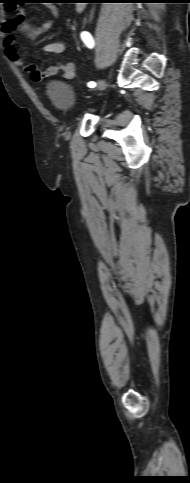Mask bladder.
Wrapping results in <instances>:
<instances>
[{"mask_svg":"<svg viewBox=\"0 0 190 483\" xmlns=\"http://www.w3.org/2000/svg\"><path fill=\"white\" fill-rule=\"evenodd\" d=\"M47 92L52 104L60 111H68L76 100V92L65 81H50L47 86Z\"/></svg>","mask_w":190,"mask_h":483,"instance_id":"31cf9c89","label":"bladder"}]
</instances>
